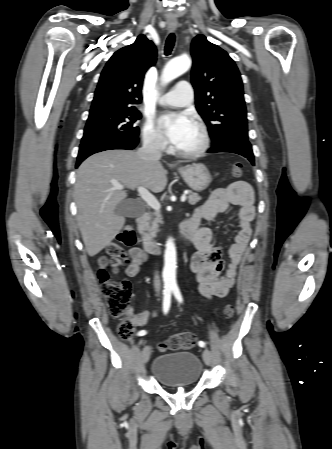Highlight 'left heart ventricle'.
<instances>
[{
  "instance_id": "left-heart-ventricle-1",
  "label": "left heart ventricle",
  "mask_w": 332,
  "mask_h": 449,
  "mask_svg": "<svg viewBox=\"0 0 332 449\" xmlns=\"http://www.w3.org/2000/svg\"><path fill=\"white\" fill-rule=\"evenodd\" d=\"M200 142V134L196 126L188 133L183 142L178 146L182 150H191L198 146Z\"/></svg>"
}]
</instances>
